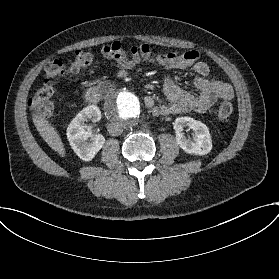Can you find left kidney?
Masks as SVG:
<instances>
[{"label":"left kidney","instance_id":"1","mask_svg":"<svg viewBox=\"0 0 279 279\" xmlns=\"http://www.w3.org/2000/svg\"><path fill=\"white\" fill-rule=\"evenodd\" d=\"M184 127L193 130V138H187L184 133ZM176 134V142L186 153L195 155L208 154L212 149V139L208 127L201 121L191 117H178L173 123Z\"/></svg>","mask_w":279,"mask_h":279}]
</instances>
